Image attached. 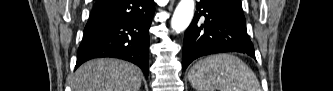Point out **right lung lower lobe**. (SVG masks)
Segmentation results:
<instances>
[{
	"instance_id": "1",
	"label": "right lung lower lobe",
	"mask_w": 333,
	"mask_h": 91,
	"mask_svg": "<svg viewBox=\"0 0 333 91\" xmlns=\"http://www.w3.org/2000/svg\"><path fill=\"white\" fill-rule=\"evenodd\" d=\"M153 0H98L84 29L76 68L97 57H114L138 65L148 77L149 28Z\"/></svg>"
}]
</instances>
